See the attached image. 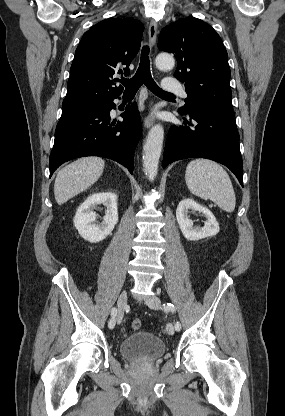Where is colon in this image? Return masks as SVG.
<instances>
[{
  "label": "colon",
  "mask_w": 285,
  "mask_h": 416,
  "mask_svg": "<svg viewBox=\"0 0 285 416\" xmlns=\"http://www.w3.org/2000/svg\"><path fill=\"white\" fill-rule=\"evenodd\" d=\"M141 325H142V323H141V320H139V319H134V320L131 322V327H132V329H133V330H138V329H140V328H141Z\"/></svg>",
  "instance_id": "5ec220e1"
}]
</instances>
